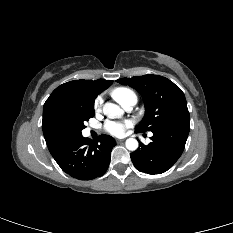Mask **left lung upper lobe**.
Here are the masks:
<instances>
[{
  "instance_id": "left-lung-upper-lobe-1",
  "label": "left lung upper lobe",
  "mask_w": 233,
  "mask_h": 233,
  "mask_svg": "<svg viewBox=\"0 0 233 233\" xmlns=\"http://www.w3.org/2000/svg\"><path fill=\"white\" fill-rule=\"evenodd\" d=\"M142 96L145 116L136 127V132L157 131L163 127L189 123V111L182 90L169 79L153 74L118 79Z\"/></svg>"
}]
</instances>
